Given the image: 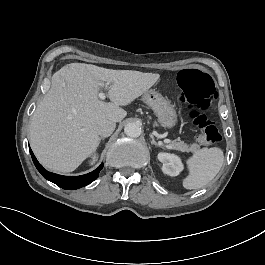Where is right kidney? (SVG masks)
Returning <instances> with one entry per match:
<instances>
[{
  "label": "right kidney",
  "mask_w": 265,
  "mask_h": 265,
  "mask_svg": "<svg viewBox=\"0 0 265 265\" xmlns=\"http://www.w3.org/2000/svg\"><path fill=\"white\" fill-rule=\"evenodd\" d=\"M94 163H95V157L93 156V157H92V160L89 161V164H90V165H93Z\"/></svg>",
  "instance_id": "right-kidney-1"
}]
</instances>
